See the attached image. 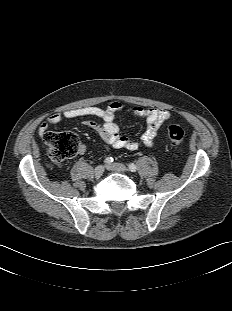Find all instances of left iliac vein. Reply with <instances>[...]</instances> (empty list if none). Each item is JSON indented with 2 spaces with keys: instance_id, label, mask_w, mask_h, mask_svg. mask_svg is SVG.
<instances>
[{
  "instance_id": "4c4485c4",
  "label": "left iliac vein",
  "mask_w": 232,
  "mask_h": 311,
  "mask_svg": "<svg viewBox=\"0 0 232 311\" xmlns=\"http://www.w3.org/2000/svg\"><path fill=\"white\" fill-rule=\"evenodd\" d=\"M108 169L115 171V172H126L128 169L122 163H113L107 166Z\"/></svg>"
}]
</instances>
